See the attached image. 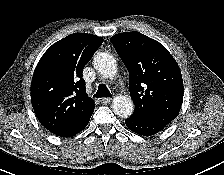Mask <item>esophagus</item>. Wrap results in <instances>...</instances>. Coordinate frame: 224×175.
<instances>
[{
  "label": "esophagus",
  "instance_id": "esophagus-1",
  "mask_svg": "<svg viewBox=\"0 0 224 175\" xmlns=\"http://www.w3.org/2000/svg\"><path fill=\"white\" fill-rule=\"evenodd\" d=\"M111 100H112V98H110V97H104V98H101V102H102L103 104H108V103L111 102Z\"/></svg>",
  "mask_w": 224,
  "mask_h": 175
}]
</instances>
